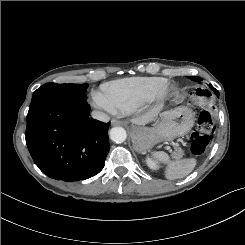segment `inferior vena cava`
<instances>
[{"label":"inferior vena cava","instance_id":"1","mask_svg":"<svg viewBox=\"0 0 245 245\" xmlns=\"http://www.w3.org/2000/svg\"><path fill=\"white\" fill-rule=\"evenodd\" d=\"M92 117L101 122H108L110 120V117L107 114L100 111H93Z\"/></svg>","mask_w":245,"mask_h":245}]
</instances>
